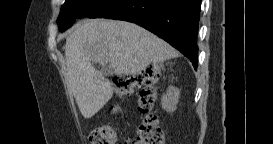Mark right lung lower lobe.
<instances>
[{
    "instance_id": "98d812e1",
    "label": "right lung lower lobe",
    "mask_w": 273,
    "mask_h": 144,
    "mask_svg": "<svg viewBox=\"0 0 273 144\" xmlns=\"http://www.w3.org/2000/svg\"><path fill=\"white\" fill-rule=\"evenodd\" d=\"M201 0H109L90 18L136 23L170 43L197 69Z\"/></svg>"
}]
</instances>
